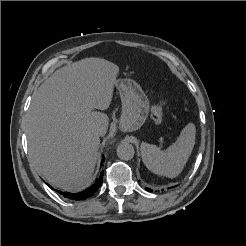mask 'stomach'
Here are the masks:
<instances>
[{
	"label": "stomach",
	"instance_id": "stomach-1",
	"mask_svg": "<svg viewBox=\"0 0 246 246\" xmlns=\"http://www.w3.org/2000/svg\"><path fill=\"white\" fill-rule=\"evenodd\" d=\"M115 85L122 102L121 128L124 131H135L145 123L148 117L149 100L134 80H117Z\"/></svg>",
	"mask_w": 246,
	"mask_h": 246
}]
</instances>
